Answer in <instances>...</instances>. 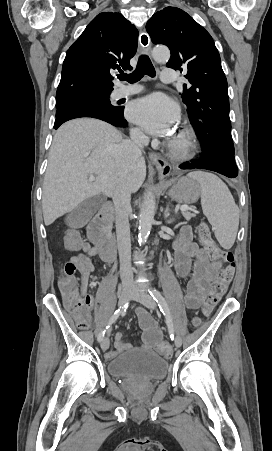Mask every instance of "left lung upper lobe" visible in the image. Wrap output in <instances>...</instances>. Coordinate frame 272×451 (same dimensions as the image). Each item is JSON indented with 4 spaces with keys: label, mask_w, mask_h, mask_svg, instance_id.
<instances>
[{
    "label": "left lung upper lobe",
    "mask_w": 272,
    "mask_h": 451,
    "mask_svg": "<svg viewBox=\"0 0 272 451\" xmlns=\"http://www.w3.org/2000/svg\"><path fill=\"white\" fill-rule=\"evenodd\" d=\"M146 30L154 44L169 47L167 67L187 72L192 86L183 85L182 98L191 124L197 127L196 135L203 141V152L235 161L227 80L211 35L177 7L156 12Z\"/></svg>",
    "instance_id": "1"
}]
</instances>
